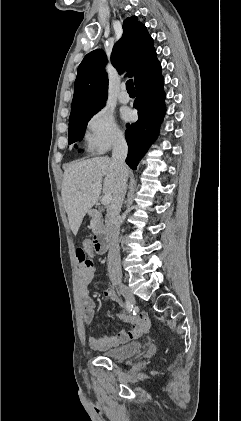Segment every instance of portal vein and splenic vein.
Instances as JSON below:
<instances>
[{
    "mask_svg": "<svg viewBox=\"0 0 241 421\" xmlns=\"http://www.w3.org/2000/svg\"><path fill=\"white\" fill-rule=\"evenodd\" d=\"M111 200H112V196H111V195H109V194H107V195H104V196L102 197V199H101V203H102L103 205H108V204H110Z\"/></svg>",
    "mask_w": 241,
    "mask_h": 421,
    "instance_id": "portal-vein-and-splenic-vein-1",
    "label": "portal vein and splenic vein"
}]
</instances>
